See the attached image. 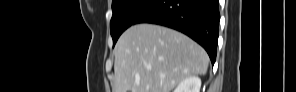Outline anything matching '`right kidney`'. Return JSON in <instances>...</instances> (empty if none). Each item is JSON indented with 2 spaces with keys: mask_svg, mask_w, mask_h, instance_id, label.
I'll return each instance as SVG.
<instances>
[{
  "mask_svg": "<svg viewBox=\"0 0 296 92\" xmlns=\"http://www.w3.org/2000/svg\"><path fill=\"white\" fill-rule=\"evenodd\" d=\"M201 79L197 76H190L182 80L174 92H200Z\"/></svg>",
  "mask_w": 296,
  "mask_h": 92,
  "instance_id": "ca27d5eb",
  "label": "right kidney"
}]
</instances>
